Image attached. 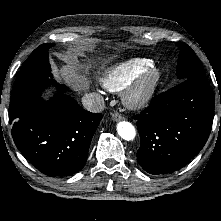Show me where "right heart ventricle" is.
<instances>
[{
  "label": "right heart ventricle",
  "instance_id": "obj_1",
  "mask_svg": "<svg viewBox=\"0 0 221 221\" xmlns=\"http://www.w3.org/2000/svg\"><path fill=\"white\" fill-rule=\"evenodd\" d=\"M150 66H152V62L148 59L128 60L106 68L99 81L106 90L117 92L125 88Z\"/></svg>",
  "mask_w": 221,
  "mask_h": 221
}]
</instances>
